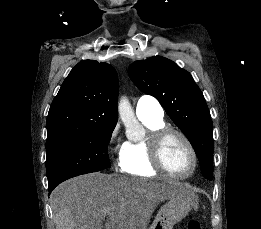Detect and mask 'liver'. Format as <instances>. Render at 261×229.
<instances>
[{
	"label": "liver",
	"mask_w": 261,
	"mask_h": 229,
	"mask_svg": "<svg viewBox=\"0 0 261 229\" xmlns=\"http://www.w3.org/2000/svg\"><path fill=\"white\" fill-rule=\"evenodd\" d=\"M170 197H184L172 183L89 173L69 179L53 193L56 229H146L154 209Z\"/></svg>",
	"instance_id": "6515ba94"
}]
</instances>
